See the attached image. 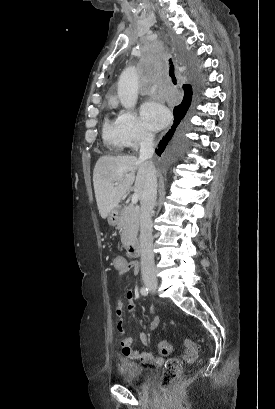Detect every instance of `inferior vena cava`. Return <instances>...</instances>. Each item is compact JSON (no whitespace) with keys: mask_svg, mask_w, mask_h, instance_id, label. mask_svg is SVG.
<instances>
[{"mask_svg":"<svg viewBox=\"0 0 275 409\" xmlns=\"http://www.w3.org/2000/svg\"><path fill=\"white\" fill-rule=\"evenodd\" d=\"M153 134L142 130L140 136V158H152ZM157 196V176L153 162L149 160L148 168L143 186V194L140 200V249H141V275L143 281H157L153 239H152V221L153 209Z\"/></svg>","mask_w":275,"mask_h":409,"instance_id":"inferior-vena-cava-1","label":"inferior vena cava"}]
</instances>
